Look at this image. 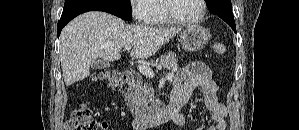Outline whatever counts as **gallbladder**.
Here are the masks:
<instances>
[{
  "label": "gallbladder",
  "mask_w": 299,
  "mask_h": 130,
  "mask_svg": "<svg viewBox=\"0 0 299 130\" xmlns=\"http://www.w3.org/2000/svg\"><path fill=\"white\" fill-rule=\"evenodd\" d=\"M109 66H110V64L108 62L98 59V60H95V62L91 65V68L93 70H98V69H105Z\"/></svg>",
  "instance_id": "gallbladder-1"
}]
</instances>
